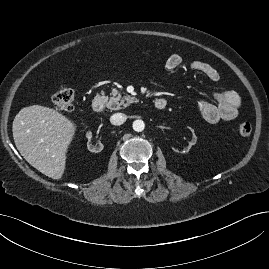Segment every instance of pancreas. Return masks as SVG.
Returning a JSON list of instances; mask_svg holds the SVG:
<instances>
[{
	"label": "pancreas",
	"instance_id": "obj_1",
	"mask_svg": "<svg viewBox=\"0 0 269 269\" xmlns=\"http://www.w3.org/2000/svg\"><path fill=\"white\" fill-rule=\"evenodd\" d=\"M135 101L134 97L129 95L122 96L121 92L113 89L109 101L106 103L107 108L111 110H120L126 108Z\"/></svg>",
	"mask_w": 269,
	"mask_h": 269
}]
</instances>
